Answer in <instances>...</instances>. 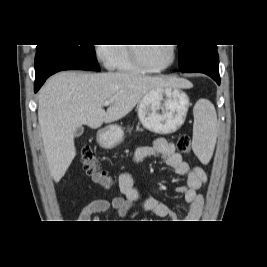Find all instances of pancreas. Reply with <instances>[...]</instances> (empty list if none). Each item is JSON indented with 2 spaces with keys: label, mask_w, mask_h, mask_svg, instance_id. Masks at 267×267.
Segmentation results:
<instances>
[{
  "label": "pancreas",
  "mask_w": 267,
  "mask_h": 267,
  "mask_svg": "<svg viewBox=\"0 0 267 267\" xmlns=\"http://www.w3.org/2000/svg\"><path fill=\"white\" fill-rule=\"evenodd\" d=\"M131 130H132V128H129V129H128V132L130 133ZM137 130H141V131H142V129H139V127H137Z\"/></svg>",
  "instance_id": "pancreas-1"
}]
</instances>
